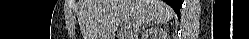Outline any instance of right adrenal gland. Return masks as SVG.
I'll return each mask as SVG.
<instances>
[{
  "label": "right adrenal gland",
  "mask_w": 249,
  "mask_h": 39,
  "mask_svg": "<svg viewBox=\"0 0 249 39\" xmlns=\"http://www.w3.org/2000/svg\"><path fill=\"white\" fill-rule=\"evenodd\" d=\"M153 25H154V22H146V23H145V27L143 26L142 29H138L136 35H137L138 32H140L141 30H145V28H146L147 26H153ZM146 33H147V31L143 32L142 36H146Z\"/></svg>",
  "instance_id": "obj_1"
}]
</instances>
